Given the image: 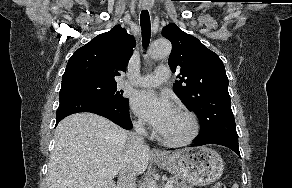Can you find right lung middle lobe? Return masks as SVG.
<instances>
[{
    "instance_id": "obj_1",
    "label": "right lung middle lobe",
    "mask_w": 292,
    "mask_h": 188,
    "mask_svg": "<svg viewBox=\"0 0 292 188\" xmlns=\"http://www.w3.org/2000/svg\"><path fill=\"white\" fill-rule=\"evenodd\" d=\"M115 81H108L96 78L79 77L62 80L59 95L68 92L82 93L91 96L100 102L110 106H121L128 102L122 96V92L117 91Z\"/></svg>"
}]
</instances>
